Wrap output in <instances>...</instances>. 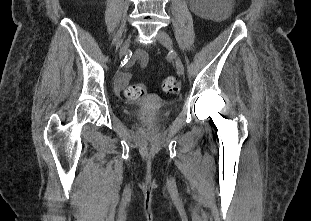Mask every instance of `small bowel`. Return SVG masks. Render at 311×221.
I'll list each match as a JSON object with an SVG mask.
<instances>
[{
	"instance_id": "small-bowel-1",
	"label": "small bowel",
	"mask_w": 311,
	"mask_h": 221,
	"mask_svg": "<svg viewBox=\"0 0 311 221\" xmlns=\"http://www.w3.org/2000/svg\"><path fill=\"white\" fill-rule=\"evenodd\" d=\"M136 60L142 67H145L149 62V54L144 50H139L136 54Z\"/></svg>"
}]
</instances>
